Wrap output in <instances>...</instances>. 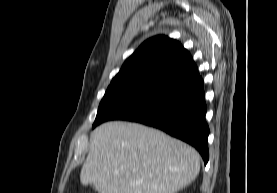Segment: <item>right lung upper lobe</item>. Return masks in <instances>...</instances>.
<instances>
[{"label":"right lung upper lobe","mask_w":277,"mask_h":193,"mask_svg":"<svg viewBox=\"0 0 277 193\" xmlns=\"http://www.w3.org/2000/svg\"><path fill=\"white\" fill-rule=\"evenodd\" d=\"M197 71L190 53L178 41L155 36L141 44L125 61L108 89L151 93Z\"/></svg>","instance_id":"obj_1"}]
</instances>
